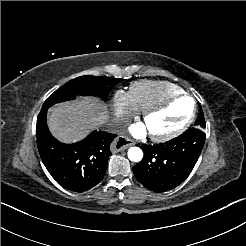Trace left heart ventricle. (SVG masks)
<instances>
[{"label": "left heart ventricle", "mask_w": 246, "mask_h": 246, "mask_svg": "<svg viewBox=\"0 0 246 246\" xmlns=\"http://www.w3.org/2000/svg\"><path fill=\"white\" fill-rule=\"evenodd\" d=\"M187 99H180L174 102L167 110L152 115L145 123L149 133H162L175 128L183 121L185 116Z\"/></svg>", "instance_id": "obj_1"}]
</instances>
